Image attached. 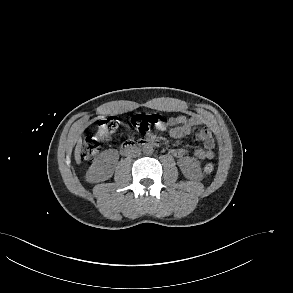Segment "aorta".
<instances>
[{
	"instance_id": "obj_1",
	"label": "aorta",
	"mask_w": 293,
	"mask_h": 293,
	"mask_svg": "<svg viewBox=\"0 0 293 293\" xmlns=\"http://www.w3.org/2000/svg\"><path fill=\"white\" fill-rule=\"evenodd\" d=\"M143 153L145 155H151L153 153V147L151 145H149V144L144 145Z\"/></svg>"
}]
</instances>
